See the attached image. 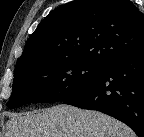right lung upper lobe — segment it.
<instances>
[{
    "mask_svg": "<svg viewBox=\"0 0 144 137\" xmlns=\"http://www.w3.org/2000/svg\"><path fill=\"white\" fill-rule=\"evenodd\" d=\"M144 48V14L130 0H75L50 12L16 67L63 59L102 66Z\"/></svg>",
    "mask_w": 144,
    "mask_h": 137,
    "instance_id": "cb5924a9",
    "label": "right lung upper lobe"
}]
</instances>
